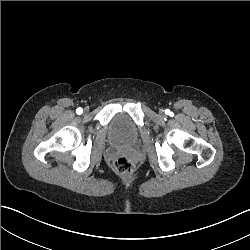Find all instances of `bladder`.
<instances>
[{
	"label": "bladder",
	"instance_id": "1",
	"mask_svg": "<svg viewBox=\"0 0 250 250\" xmlns=\"http://www.w3.org/2000/svg\"><path fill=\"white\" fill-rule=\"evenodd\" d=\"M107 133L116 143L124 144L134 143L139 136V130L133 119L125 113L112 117Z\"/></svg>",
	"mask_w": 250,
	"mask_h": 250
}]
</instances>
